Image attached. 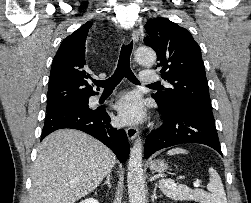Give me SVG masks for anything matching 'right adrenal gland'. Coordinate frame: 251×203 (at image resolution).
<instances>
[{"label":"right adrenal gland","instance_id":"2a0ac1e0","mask_svg":"<svg viewBox=\"0 0 251 203\" xmlns=\"http://www.w3.org/2000/svg\"><path fill=\"white\" fill-rule=\"evenodd\" d=\"M110 177H111V174H108L107 178H106V181L101 186H104V185L107 184L108 187L111 188Z\"/></svg>","mask_w":251,"mask_h":203}]
</instances>
